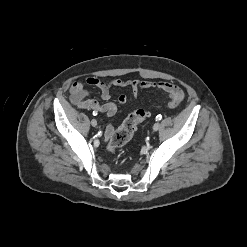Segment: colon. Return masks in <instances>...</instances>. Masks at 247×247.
I'll use <instances>...</instances> for the list:
<instances>
[{
  "label": "colon",
  "mask_w": 247,
  "mask_h": 247,
  "mask_svg": "<svg viewBox=\"0 0 247 247\" xmlns=\"http://www.w3.org/2000/svg\"><path fill=\"white\" fill-rule=\"evenodd\" d=\"M146 117L147 113L143 110H137L129 115L111 136L108 151L114 153L118 148L128 143L132 139L137 125L145 120Z\"/></svg>",
  "instance_id": "colon-1"
}]
</instances>
